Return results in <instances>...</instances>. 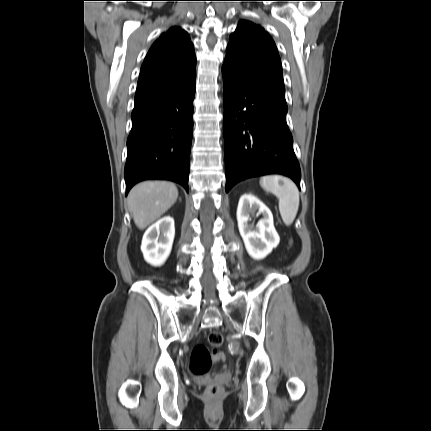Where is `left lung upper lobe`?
I'll list each match as a JSON object with an SVG mask.
<instances>
[{
	"mask_svg": "<svg viewBox=\"0 0 431 431\" xmlns=\"http://www.w3.org/2000/svg\"><path fill=\"white\" fill-rule=\"evenodd\" d=\"M222 72L285 100L282 66L276 45L259 25L240 22L230 36Z\"/></svg>",
	"mask_w": 431,
	"mask_h": 431,
	"instance_id": "obj_1",
	"label": "left lung upper lobe"
}]
</instances>
